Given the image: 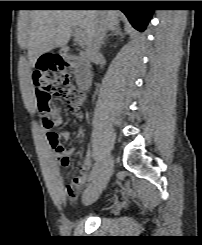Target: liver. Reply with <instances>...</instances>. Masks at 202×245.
<instances>
[{"label":"liver","instance_id":"1","mask_svg":"<svg viewBox=\"0 0 202 245\" xmlns=\"http://www.w3.org/2000/svg\"><path fill=\"white\" fill-rule=\"evenodd\" d=\"M118 17L119 12L114 10H34L30 27L22 35L20 43L28 50L30 65L34 67L41 55L69 42L72 28L83 30L84 43L88 45L100 20L113 30L119 27Z\"/></svg>","mask_w":202,"mask_h":245}]
</instances>
